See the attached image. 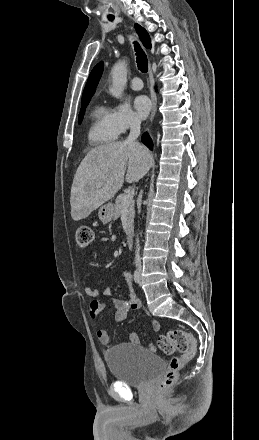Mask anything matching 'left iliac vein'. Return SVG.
Segmentation results:
<instances>
[{
    "label": "left iliac vein",
    "instance_id": "left-iliac-vein-1",
    "mask_svg": "<svg viewBox=\"0 0 259 440\" xmlns=\"http://www.w3.org/2000/svg\"><path fill=\"white\" fill-rule=\"evenodd\" d=\"M142 284V280H141V277H140V280H139V285H141Z\"/></svg>",
    "mask_w": 259,
    "mask_h": 440
}]
</instances>
